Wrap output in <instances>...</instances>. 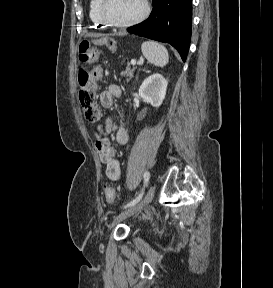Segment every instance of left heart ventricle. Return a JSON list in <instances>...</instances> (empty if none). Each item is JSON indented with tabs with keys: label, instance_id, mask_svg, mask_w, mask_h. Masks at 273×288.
<instances>
[{
	"label": "left heart ventricle",
	"instance_id": "obj_1",
	"mask_svg": "<svg viewBox=\"0 0 273 288\" xmlns=\"http://www.w3.org/2000/svg\"><path fill=\"white\" fill-rule=\"evenodd\" d=\"M143 10V0H107L106 15L113 21L124 22L137 17Z\"/></svg>",
	"mask_w": 273,
	"mask_h": 288
}]
</instances>
